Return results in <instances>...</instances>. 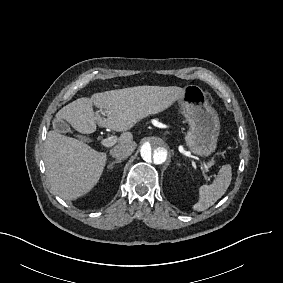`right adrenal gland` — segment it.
Here are the masks:
<instances>
[{
  "label": "right adrenal gland",
  "instance_id": "1",
  "mask_svg": "<svg viewBox=\"0 0 283 283\" xmlns=\"http://www.w3.org/2000/svg\"><path fill=\"white\" fill-rule=\"evenodd\" d=\"M116 163H121V160H116V161L110 163V164L107 166V168H108V169H109V168L112 169L113 166H114Z\"/></svg>",
  "mask_w": 283,
  "mask_h": 283
}]
</instances>
